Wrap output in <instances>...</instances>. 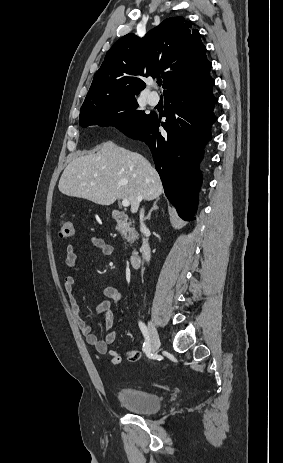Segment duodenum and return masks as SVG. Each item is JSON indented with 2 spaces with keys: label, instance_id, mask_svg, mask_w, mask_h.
I'll return each instance as SVG.
<instances>
[{
  "label": "duodenum",
  "instance_id": "duodenum-1",
  "mask_svg": "<svg viewBox=\"0 0 283 463\" xmlns=\"http://www.w3.org/2000/svg\"><path fill=\"white\" fill-rule=\"evenodd\" d=\"M113 219L117 225L125 226L128 224V216L126 213L122 211H115L113 213ZM135 240H136V234L133 232L131 234L132 244H134ZM129 262L133 268H138L140 266V255H139V252L135 248L131 251L129 255Z\"/></svg>",
  "mask_w": 283,
  "mask_h": 463
}]
</instances>
